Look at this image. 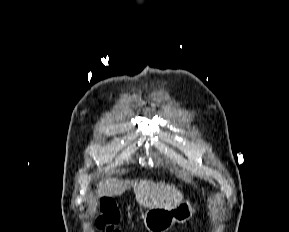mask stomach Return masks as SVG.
Instances as JSON below:
<instances>
[{"instance_id": "obj_1", "label": "stomach", "mask_w": 289, "mask_h": 232, "mask_svg": "<svg viewBox=\"0 0 289 232\" xmlns=\"http://www.w3.org/2000/svg\"><path fill=\"white\" fill-rule=\"evenodd\" d=\"M194 212L189 200L175 203L172 207L149 208L143 215L144 225L149 232H167L175 222L188 221Z\"/></svg>"}]
</instances>
